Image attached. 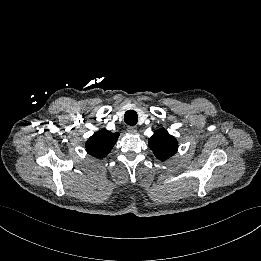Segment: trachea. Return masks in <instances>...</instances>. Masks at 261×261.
Masks as SVG:
<instances>
[{
  "mask_svg": "<svg viewBox=\"0 0 261 261\" xmlns=\"http://www.w3.org/2000/svg\"><path fill=\"white\" fill-rule=\"evenodd\" d=\"M124 122L130 126H134L138 122V115L134 110H128L124 115Z\"/></svg>",
  "mask_w": 261,
  "mask_h": 261,
  "instance_id": "obj_1",
  "label": "trachea"
}]
</instances>
